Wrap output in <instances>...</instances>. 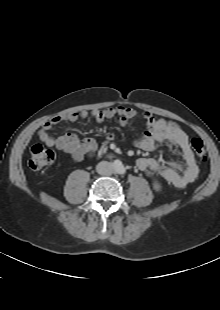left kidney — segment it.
Segmentation results:
<instances>
[{
	"mask_svg": "<svg viewBox=\"0 0 220 310\" xmlns=\"http://www.w3.org/2000/svg\"><path fill=\"white\" fill-rule=\"evenodd\" d=\"M154 188H155L156 190H160L161 186H160L157 182H155V183H154Z\"/></svg>",
	"mask_w": 220,
	"mask_h": 310,
	"instance_id": "1",
	"label": "left kidney"
}]
</instances>
